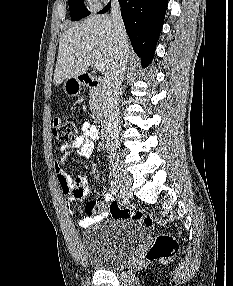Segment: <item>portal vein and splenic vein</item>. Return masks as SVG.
Instances as JSON below:
<instances>
[{
  "mask_svg": "<svg viewBox=\"0 0 233 286\" xmlns=\"http://www.w3.org/2000/svg\"><path fill=\"white\" fill-rule=\"evenodd\" d=\"M92 53L95 59L96 69L98 71H103L105 69V63L104 60L102 59L101 53L97 49L92 50Z\"/></svg>",
  "mask_w": 233,
  "mask_h": 286,
  "instance_id": "1",
  "label": "portal vein and splenic vein"
}]
</instances>
